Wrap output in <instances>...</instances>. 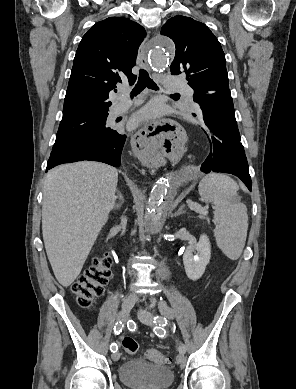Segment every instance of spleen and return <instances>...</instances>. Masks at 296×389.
<instances>
[{
	"label": "spleen",
	"instance_id": "1",
	"mask_svg": "<svg viewBox=\"0 0 296 389\" xmlns=\"http://www.w3.org/2000/svg\"><path fill=\"white\" fill-rule=\"evenodd\" d=\"M239 187L229 176L211 173L199 183L200 196L215 206V237L218 247L231 260L243 251L248 230L246 206L237 197Z\"/></svg>",
	"mask_w": 296,
	"mask_h": 389
}]
</instances>
